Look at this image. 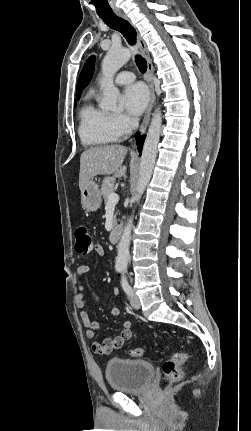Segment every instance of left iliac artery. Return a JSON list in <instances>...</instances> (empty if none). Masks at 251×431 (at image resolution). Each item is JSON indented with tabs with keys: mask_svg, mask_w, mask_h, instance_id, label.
Instances as JSON below:
<instances>
[{
	"mask_svg": "<svg viewBox=\"0 0 251 431\" xmlns=\"http://www.w3.org/2000/svg\"><path fill=\"white\" fill-rule=\"evenodd\" d=\"M124 270L125 269H123V271ZM121 285H122L123 290L126 292V294L130 295L131 294V287L129 286L124 275L122 276V279H121Z\"/></svg>",
	"mask_w": 251,
	"mask_h": 431,
	"instance_id": "left-iliac-artery-1",
	"label": "left iliac artery"
}]
</instances>
